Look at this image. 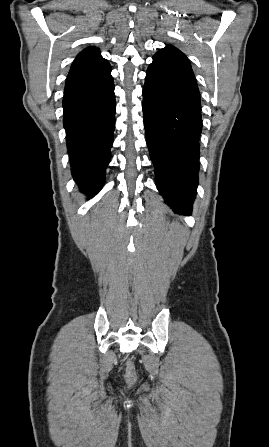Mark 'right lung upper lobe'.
I'll use <instances>...</instances> for the list:
<instances>
[{"label":"right lung upper lobe","instance_id":"obj_1","mask_svg":"<svg viewBox=\"0 0 269 447\" xmlns=\"http://www.w3.org/2000/svg\"><path fill=\"white\" fill-rule=\"evenodd\" d=\"M100 63H107V60L100 56L98 48L88 47L78 54L71 66L70 72Z\"/></svg>","mask_w":269,"mask_h":447}]
</instances>
